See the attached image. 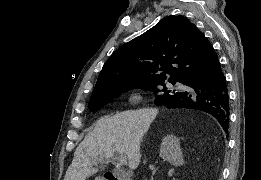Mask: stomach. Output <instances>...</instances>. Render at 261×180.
I'll return each mask as SVG.
<instances>
[{"label":"stomach","instance_id":"obj_1","mask_svg":"<svg viewBox=\"0 0 261 180\" xmlns=\"http://www.w3.org/2000/svg\"><path fill=\"white\" fill-rule=\"evenodd\" d=\"M95 180H103V178H101V177H97Z\"/></svg>","mask_w":261,"mask_h":180}]
</instances>
